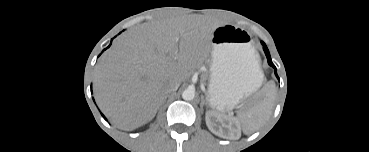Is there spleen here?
Returning <instances> with one entry per match:
<instances>
[{
	"label": "spleen",
	"mask_w": 369,
	"mask_h": 152,
	"mask_svg": "<svg viewBox=\"0 0 369 152\" xmlns=\"http://www.w3.org/2000/svg\"><path fill=\"white\" fill-rule=\"evenodd\" d=\"M275 96V83L270 81L248 104L247 108L237 114V120L245 133L256 131L270 117Z\"/></svg>",
	"instance_id": "spleen-1"
}]
</instances>
